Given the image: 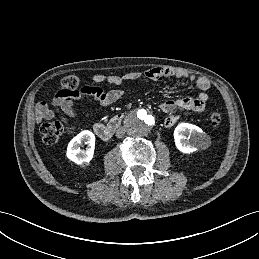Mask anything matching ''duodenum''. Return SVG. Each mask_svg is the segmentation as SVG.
I'll return each instance as SVG.
<instances>
[{
	"label": "duodenum",
	"mask_w": 259,
	"mask_h": 259,
	"mask_svg": "<svg viewBox=\"0 0 259 259\" xmlns=\"http://www.w3.org/2000/svg\"><path fill=\"white\" fill-rule=\"evenodd\" d=\"M124 117H125V114H120L113 117L108 124H103V123L95 124L94 131L96 135L104 141L111 139L114 132L120 128Z\"/></svg>",
	"instance_id": "obj_1"
}]
</instances>
